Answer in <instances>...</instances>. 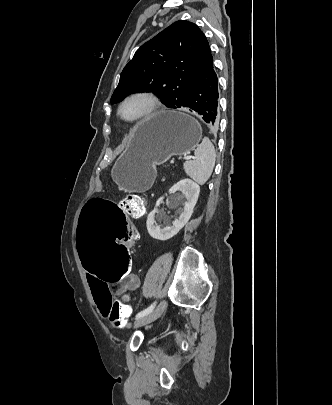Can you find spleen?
<instances>
[{"label": "spleen", "mask_w": 332, "mask_h": 405, "mask_svg": "<svg viewBox=\"0 0 332 405\" xmlns=\"http://www.w3.org/2000/svg\"><path fill=\"white\" fill-rule=\"evenodd\" d=\"M194 154L195 160L186 161L184 170L193 181L203 185L210 178L216 160L215 149L210 139L204 137Z\"/></svg>", "instance_id": "spleen-1"}]
</instances>
